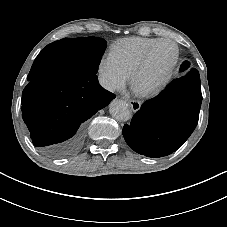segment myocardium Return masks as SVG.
Masks as SVG:
<instances>
[{
  "label": "myocardium",
  "instance_id": "f54148a6",
  "mask_svg": "<svg viewBox=\"0 0 227 227\" xmlns=\"http://www.w3.org/2000/svg\"><path fill=\"white\" fill-rule=\"evenodd\" d=\"M165 42L172 43L176 48V54L173 61L171 62L164 76L161 78V80L158 83H156L154 86H152L147 90L137 89L135 86L136 76L147 67V65L151 60L153 52L155 51L157 46ZM179 61H180V47L176 41H174L171 38H161L157 40L154 44H152L147 49L142 59L131 70L130 76H129V84L131 89L141 97H151L159 94L169 84L170 80L172 79V76L175 73V70L178 66Z\"/></svg>",
  "mask_w": 227,
  "mask_h": 227
}]
</instances>
